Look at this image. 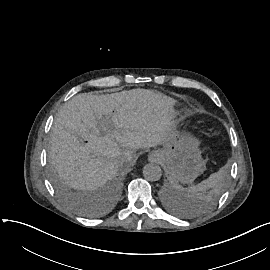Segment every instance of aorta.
Returning a JSON list of instances; mask_svg holds the SVG:
<instances>
[{
  "mask_svg": "<svg viewBox=\"0 0 270 270\" xmlns=\"http://www.w3.org/2000/svg\"><path fill=\"white\" fill-rule=\"evenodd\" d=\"M143 175L148 181H158L162 176L161 167L155 163H149L144 167Z\"/></svg>",
  "mask_w": 270,
  "mask_h": 270,
  "instance_id": "1",
  "label": "aorta"
}]
</instances>
